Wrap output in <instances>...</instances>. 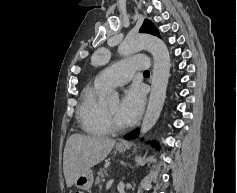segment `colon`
Listing matches in <instances>:
<instances>
[{
	"label": "colon",
	"mask_w": 237,
	"mask_h": 193,
	"mask_svg": "<svg viewBox=\"0 0 237 193\" xmlns=\"http://www.w3.org/2000/svg\"><path fill=\"white\" fill-rule=\"evenodd\" d=\"M75 193H83L82 191H76Z\"/></svg>",
	"instance_id": "obj_1"
}]
</instances>
